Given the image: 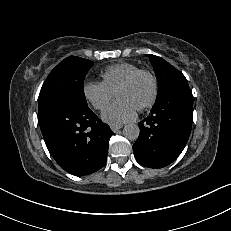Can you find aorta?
I'll list each match as a JSON object with an SVG mask.
<instances>
[{"mask_svg": "<svg viewBox=\"0 0 231 231\" xmlns=\"http://www.w3.org/2000/svg\"><path fill=\"white\" fill-rule=\"evenodd\" d=\"M140 129L134 123L126 124L123 128V135L129 140H136L139 137Z\"/></svg>", "mask_w": 231, "mask_h": 231, "instance_id": "1", "label": "aorta"}]
</instances>
